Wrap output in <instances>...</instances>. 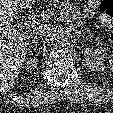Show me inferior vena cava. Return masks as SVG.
<instances>
[{
  "label": "inferior vena cava",
  "instance_id": "602c4592",
  "mask_svg": "<svg viewBox=\"0 0 113 113\" xmlns=\"http://www.w3.org/2000/svg\"><path fill=\"white\" fill-rule=\"evenodd\" d=\"M49 29V25L48 24H41L37 27H34L32 32L36 35H40L42 36L47 30Z\"/></svg>",
  "mask_w": 113,
  "mask_h": 113
}]
</instances>
